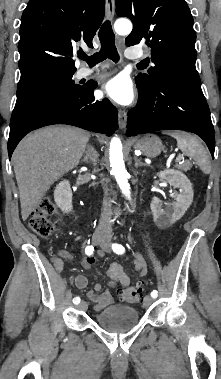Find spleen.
Masks as SVG:
<instances>
[{
	"instance_id": "spleen-1",
	"label": "spleen",
	"mask_w": 221,
	"mask_h": 379,
	"mask_svg": "<svg viewBox=\"0 0 221 379\" xmlns=\"http://www.w3.org/2000/svg\"><path fill=\"white\" fill-rule=\"evenodd\" d=\"M169 135L177 140L183 154L192 158L203 173L211 172L209 153L196 136L182 131L169 132Z\"/></svg>"
}]
</instances>
